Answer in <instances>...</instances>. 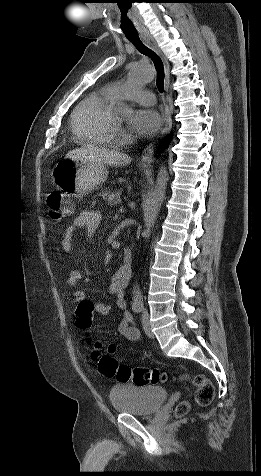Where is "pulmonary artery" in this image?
Masks as SVG:
<instances>
[{
  "label": "pulmonary artery",
  "mask_w": 261,
  "mask_h": 476,
  "mask_svg": "<svg viewBox=\"0 0 261 476\" xmlns=\"http://www.w3.org/2000/svg\"><path fill=\"white\" fill-rule=\"evenodd\" d=\"M107 90L114 98L121 97L143 105H154L156 102L154 93L142 88L127 89L125 85L116 83Z\"/></svg>",
  "instance_id": "1"
}]
</instances>
